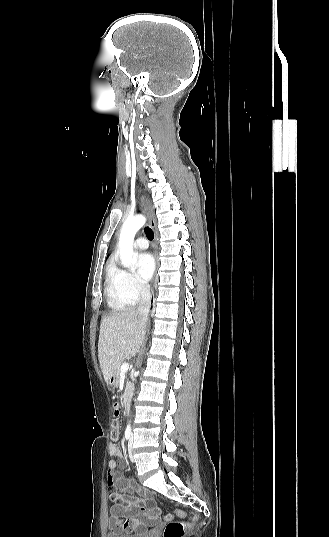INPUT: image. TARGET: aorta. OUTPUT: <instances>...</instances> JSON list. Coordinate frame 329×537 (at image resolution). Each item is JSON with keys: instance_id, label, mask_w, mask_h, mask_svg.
Returning a JSON list of instances; mask_svg holds the SVG:
<instances>
[{"instance_id": "obj_1", "label": "aorta", "mask_w": 329, "mask_h": 537, "mask_svg": "<svg viewBox=\"0 0 329 537\" xmlns=\"http://www.w3.org/2000/svg\"><path fill=\"white\" fill-rule=\"evenodd\" d=\"M146 219L142 215H136L133 217L127 218L124 222L118 248L120 253L121 264L125 268H133L135 261L133 258V242L134 237L138 230L145 224Z\"/></svg>"}]
</instances>
